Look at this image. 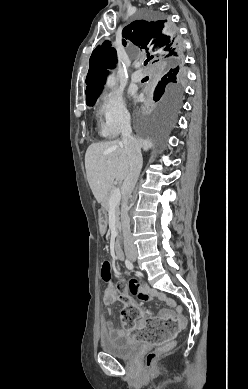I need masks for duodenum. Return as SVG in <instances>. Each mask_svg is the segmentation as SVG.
Wrapping results in <instances>:
<instances>
[{
	"label": "duodenum",
	"mask_w": 248,
	"mask_h": 389,
	"mask_svg": "<svg viewBox=\"0 0 248 389\" xmlns=\"http://www.w3.org/2000/svg\"><path fill=\"white\" fill-rule=\"evenodd\" d=\"M115 255L116 258L119 260H122L124 258V253L119 240H117L115 243Z\"/></svg>",
	"instance_id": "obj_1"
}]
</instances>
